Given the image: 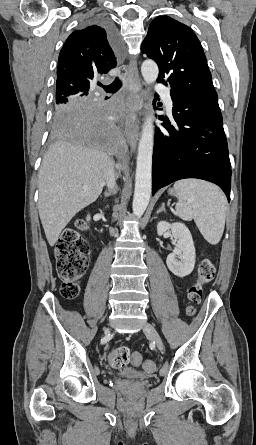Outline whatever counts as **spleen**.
Here are the masks:
<instances>
[{
	"mask_svg": "<svg viewBox=\"0 0 256 445\" xmlns=\"http://www.w3.org/2000/svg\"><path fill=\"white\" fill-rule=\"evenodd\" d=\"M178 202L175 206L180 218L194 220L207 242L216 245L225 227L227 199L224 193L209 182L184 179L175 182Z\"/></svg>",
	"mask_w": 256,
	"mask_h": 445,
	"instance_id": "1",
	"label": "spleen"
}]
</instances>
